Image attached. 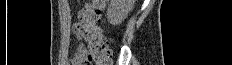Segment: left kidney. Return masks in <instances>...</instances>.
Masks as SVG:
<instances>
[{
  "label": "left kidney",
  "instance_id": "left-kidney-1",
  "mask_svg": "<svg viewBox=\"0 0 232 65\" xmlns=\"http://www.w3.org/2000/svg\"><path fill=\"white\" fill-rule=\"evenodd\" d=\"M134 0H111L107 9V20L112 25L121 24L132 10Z\"/></svg>",
  "mask_w": 232,
  "mask_h": 65
}]
</instances>
